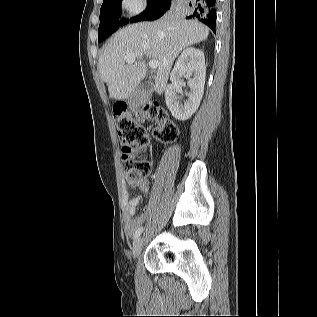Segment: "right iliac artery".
<instances>
[{"instance_id":"obj_1","label":"right iliac artery","mask_w":317,"mask_h":317,"mask_svg":"<svg viewBox=\"0 0 317 317\" xmlns=\"http://www.w3.org/2000/svg\"><path fill=\"white\" fill-rule=\"evenodd\" d=\"M142 232H143V227L138 228L137 231L135 232L134 239L136 240L141 235Z\"/></svg>"}]
</instances>
